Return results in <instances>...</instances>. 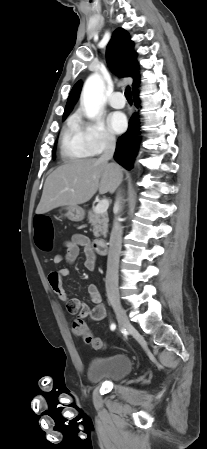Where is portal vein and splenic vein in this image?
Wrapping results in <instances>:
<instances>
[{
  "label": "portal vein and splenic vein",
  "mask_w": 207,
  "mask_h": 449,
  "mask_svg": "<svg viewBox=\"0 0 207 449\" xmlns=\"http://www.w3.org/2000/svg\"><path fill=\"white\" fill-rule=\"evenodd\" d=\"M108 207H109L108 199H103L97 204V206L95 207V211L97 213H105L107 212Z\"/></svg>",
  "instance_id": "18ae733b"
}]
</instances>
